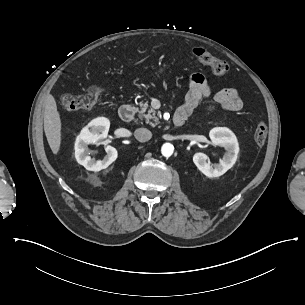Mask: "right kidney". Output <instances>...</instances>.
<instances>
[{"mask_svg":"<svg viewBox=\"0 0 305 305\" xmlns=\"http://www.w3.org/2000/svg\"><path fill=\"white\" fill-rule=\"evenodd\" d=\"M91 128V131H89ZM109 131V122L106 119H97L89 124V126L84 129L80 136L75 142V157L77 162L84 166L89 171L98 172L107 168L112 162H114L118 153L117 150L107 145V154L103 157L101 161H95L88 155V145L90 143H97L99 139L105 138ZM102 134V136L100 135Z\"/></svg>","mask_w":305,"mask_h":305,"instance_id":"right-kidney-1","label":"right kidney"}]
</instances>
